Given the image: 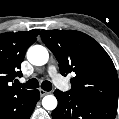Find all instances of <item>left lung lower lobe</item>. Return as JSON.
<instances>
[{
	"label": "left lung lower lobe",
	"mask_w": 119,
	"mask_h": 119,
	"mask_svg": "<svg viewBox=\"0 0 119 119\" xmlns=\"http://www.w3.org/2000/svg\"><path fill=\"white\" fill-rule=\"evenodd\" d=\"M58 106L52 111L53 119H115L117 105L87 100L83 97L55 90Z\"/></svg>",
	"instance_id": "1"
}]
</instances>
